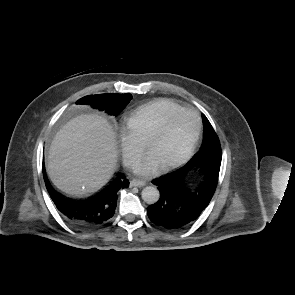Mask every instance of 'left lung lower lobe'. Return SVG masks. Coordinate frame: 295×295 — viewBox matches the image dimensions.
<instances>
[{
	"label": "left lung lower lobe",
	"instance_id": "obj_1",
	"mask_svg": "<svg viewBox=\"0 0 295 295\" xmlns=\"http://www.w3.org/2000/svg\"><path fill=\"white\" fill-rule=\"evenodd\" d=\"M221 158V154H207L172 174L153 180L160 191V199L147 208L150 220L170 230L184 228L196 220L215 192ZM197 165L205 168V181L191 190L186 186L184 178Z\"/></svg>",
	"mask_w": 295,
	"mask_h": 295
}]
</instances>
